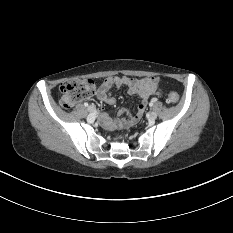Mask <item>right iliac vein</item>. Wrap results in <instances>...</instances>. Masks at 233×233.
Masks as SVG:
<instances>
[{
    "instance_id": "right-iliac-vein-1",
    "label": "right iliac vein",
    "mask_w": 233,
    "mask_h": 233,
    "mask_svg": "<svg viewBox=\"0 0 233 233\" xmlns=\"http://www.w3.org/2000/svg\"><path fill=\"white\" fill-rule=\"evenodd\" d=\"M87 110H88V112H90V113H94V112L96 111V108H95V106L90 105V106L87 108Z\"/></svg>"
}]
</instances>
